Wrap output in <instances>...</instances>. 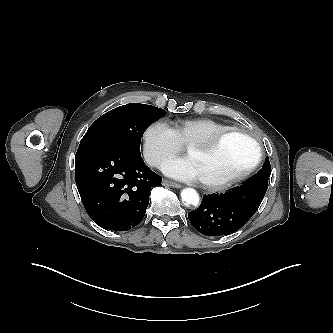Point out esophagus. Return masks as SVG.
Listing matches in <instances>:
<instances>
[{
	"instance_id": "esophagus-1",
	"label": "esophagus",
	"mask_w": 333,
	"mask_h": 333,
	"mask_svg": "<svg viewBox=\"0 0 333 333\" xmlns=\"http://www.w3.org/2000/svg\"><path fill=\"white\" fill-rule=\"evenodd\" d=\"M163 185L170 186V187H173V188H181L182 187V185H180L178 183H175V182H172V181H169V180H164Z\"/></svg>"
}]
</instances>
